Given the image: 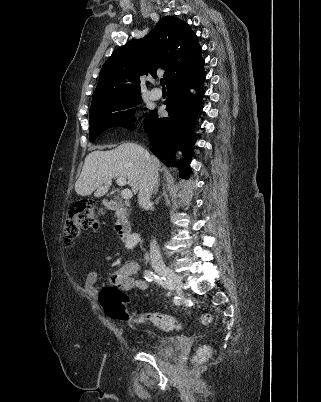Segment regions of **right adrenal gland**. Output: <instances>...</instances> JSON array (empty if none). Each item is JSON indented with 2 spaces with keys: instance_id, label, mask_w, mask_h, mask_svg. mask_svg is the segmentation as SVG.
<instances>
[{
  "instance_id": "1",
  "label": "right adrenal gland",
  "mask_w": 321,
  "mask_h": 402,
  "mask_svg": "<svg viewBox=\"0 0 321 402\" xmlns=\"http://www.w3.org/2000/svg\"><path fill=\"white\" fill-rule=\"evenodd\" d=\"M159 182H160V179H159V180L157 181V183H156V186H155V189H154V195H156L157 192H158Z\"/></svg>"
}]
</instances>
